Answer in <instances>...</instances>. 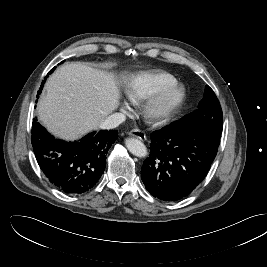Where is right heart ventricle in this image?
<instances>
[{
    "instance_id": "right-heart-ventricle-1",
    "label": "right heart ventricle",
    "mask_w": 267,
    "mask_h": 267,
    "mask_svg": "<svg viewBox=\"0 0 267 267\" xmlns=\"http://www.w3.org/2000/svg\"><path fill=\"white\" fill-rule=\"evenodd\" d=\"M176 82V78L167 72H139L128 79L125 93L133 103H141L158 95Z\"/></svg>"
}]
</instances>
